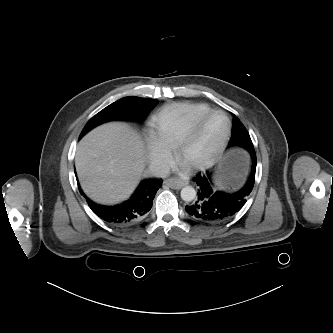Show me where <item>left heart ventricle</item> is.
Returning a JSON list of instances; mask_svg holds the SVG:
<instances>
[{
    "label": "left heart ventricle",
    "mask_w": 333,
    "mask_h": 333,
    "mask_svg": "<svg viewBox=\"0 0 333 333\" xmlns=\"http://www.w3.org/2000/svg\"><path fill=\"white\" fill-rule=\"evenodd\" d=\"M226 128V120L221 115L209 118L188 148L183 163L191 164L208 158Z\"/></svg>",
    "instance_id": "b2bd125f"
}]
</instances>
